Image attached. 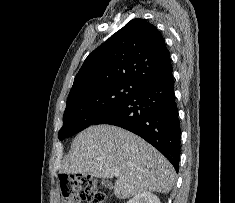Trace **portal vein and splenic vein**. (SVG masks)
<instances>
[{
  "label": "portal vein and splenic vein",
  "mask_w": 235,
  "mask_h": 203,
  "mask_svg": "<svg viewBox=\"0 0 235 203\" xmlns=\"http://www.w3.org/2000/svg\"><path fill=\"white\" fill-rule=\"evenodd\" d=\"M114 175H115V176H119V175H120V172H119V171H116V172L114 173Z\"/></svg>",
  "instance_id": "18ae733b"
}]
</instances>
